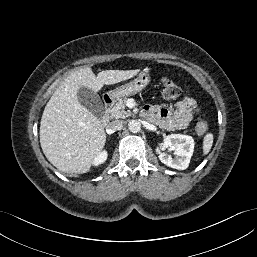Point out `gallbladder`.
<instances>
[{
  "instance_id": "bac80fb5",
  "label": "gallbladder",
  "mask_w": 257,
  "mask_h": 257,
  "mask_svg": "<svg viewBox=\"0 0 257 257\" xmlns=\"http://www.w3.org/2000/svg\"><path fill=\"white\" fill-rule=\"evenodd\" d=\"M80 104L88 109L93 115L101 118L104 113V106L99 95L87 87H81L77 93Z\"/></svg>"
}]
</instances>
